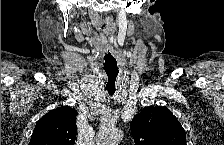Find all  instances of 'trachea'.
Segmentation results:
<instances>
[{
  "mask_svg": "<svg viewBox=\"0 0 224 145\" xmlns=\"http://www.w3.org/2000/svg\"><path fill=\"white\" fill-rule=\"evenodd\" d=\"M105 78H106V90L110 96L114 95L116 88L115 82L119 73L117 67V61L113 56H108L104 63Z\"/></svg>",
  "mask_w": 224,
  "mask_h": 145,
  "instance_id": "obj_1",
  "label": "trachea"
}]
</instances>
